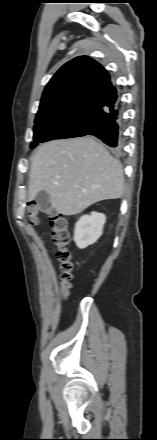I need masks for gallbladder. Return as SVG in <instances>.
<instances>
[{"instance_id":"gallbladder-1","label":"gallbladder","mask_w":157,"mask_h":440,"mask_svg":"<svg viewBox=\"0 0 157 440\" xmlns=\"http://www.w3.org/2000/svg\"><path fill=\"white\" fill-rule=\"evenodd\" d=\"M35 201L37 206L43 211H47L49 208L50 197L46 191H40L36 194Z\"/></svg>"}]
</instances>
